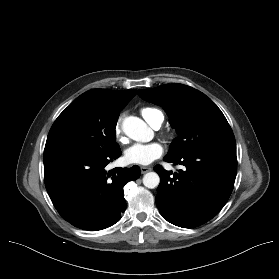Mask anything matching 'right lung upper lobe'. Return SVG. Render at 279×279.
<instances>
[{"label": "right lung upper lobe", "mask_w": 279, "mask_h": 279, "mask_svg": "<svg viewBox=\"0 0 279 279\" xmlns=\"http://www.w3.org/2000/svg\"><path fill=\"white\" fill-rule=\"evenodd\" d=\"M136 92V89L125 91L92 89L83 93L82 96L99 109L121 111Z\"/></svg>", "instance_id": "1"}]
</instances>
